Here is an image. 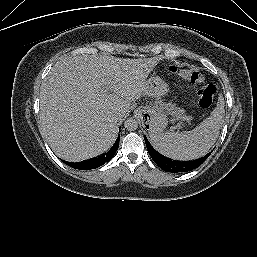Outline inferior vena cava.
<instances>
[{
	"label": "inferior vena cava",
	"mask_w": 257,
	"mask_h": 257,
	"mask_svg": "<svg viewBox=\"0 0 257 257\" xmlns=\"http://www.w3.org/2000/svg\"><path fill=\"white\" fill-rule=\"evenodd\" d=\"M113 119H114L115 121H118V120H120V116H119V115H115V116L113 117Z\"/></svg>",
	"instance_id": "inferior-vena-cava-1"
}]
</instances>
